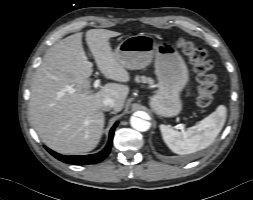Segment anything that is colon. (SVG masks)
Segmentation results:
<instances>
[{
    "label": "colon",
    "instance_id": "1",
    "mask_svg": "<svg viewBox=\"0 0 253 200\" xmlns=\"http://www.w3.org/2000/svg\"><path fill=\"white\" fill-rule=\"evenodd\" d=\"M177 46L189 59L198 76L197 104L209 107L215 99L217 86L216 77L211 73L213 63L205 49L183 38L177 39Z\"/></svg>",
    "mask_w": 253,
    "mask_h": 200
}]
</instances>
